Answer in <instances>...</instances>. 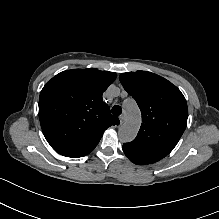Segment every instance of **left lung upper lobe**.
<instances>
[{
  "mask_svg": "<svg viewBox=\"0 0 219 219\" xmlns=\"http://www.w3.org/2000/svg\"><path fill=\"white\" fill-rule=\"evenodd\" d=\"M119 79L142 114L137 137L124 143L123 151L142 164L155 163L174 149L186 128V100L175 85L152 72L122 73Z\"/></svg>",
  "mask_w": 219,
  "mask_h": 219,
  "instance_id": "left-lung-upper-lobe-1",
  "label": "left lung upper lobe"
}]
</instances>
